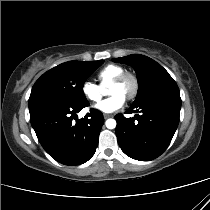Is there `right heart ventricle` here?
<instances>
[{
	"label": "right heart ventricle",
	"instance_id": "1",
	"mask_svg": "<svg viewBox=\"0 0 210 210\" xmlns=\"http://www.w3.org/2000/svg\"><path fill=\"white\" fill-rule=\"evenodd\" d=\"M123 72H125L123 67L115 64H108L98 71L97 79L100 86L104 88L109 86L112 81Z\"/></svg>",
	"mask_w": 210,
	"mask_h": 210
}]
</instances>
